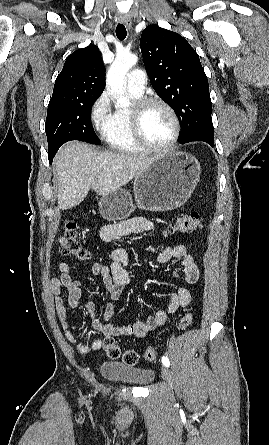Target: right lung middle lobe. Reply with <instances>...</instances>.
Wrapping results in <instances>:
<instances>
[{
    "label": "right lung middle lobe",
    "mask_w": 269,
    "mask_h": 445,
    "mask_svg": "<svg viewBox=\"0 0 269 445\" xmlns=\"http://www.w3.org/2000/svg\"><path fill=\"white\" fill-rule=\"evenodd\" d=\"M94 96L50 99L46 118L48 158L51 162L59 147L70 140L100 144L91 121L90 113Z\"/></svg>",
    "instance_id": "1"
}]
</instances>
